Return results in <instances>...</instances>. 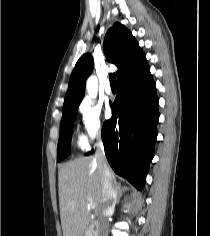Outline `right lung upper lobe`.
<instances>
[{
	"label": "right lung upper lobe",
	"instance_id": "cb5924a9",
	"mask_svg": "<svg viewBox=\"0 0 210 236\" xmlns=\"http://www.w3.org/2000/svg\"><path fill=\"white\" fill-rule=\"evenodd\" d=\"M104 52L109 62L118 67L117 81L140 69L147 63L145 53L131 32L120 23L110 28L104 39ZM93 70V58L87 53L76 63L69 80L63 112L77 109L84 95L86 78Z\"/></svg>",
	"mask_w": 210,
	"mask_h": 236
}]
</instances>
